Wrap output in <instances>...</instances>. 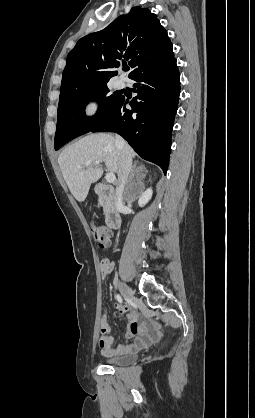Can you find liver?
<instances>
[{
  "label": "liver",
  "mask_w": 255,
  "mask_h": 418,
  "mask_svg": "<svg viewBox=\"0 0 255 418\" xmlns=\"http://www.w3.org/2000/svg\"><path fill=\"white\" fill-rule=\"evenodd\" d=\"M129 150L131 157H135V152L130 147ZM119 160L115 138L106 133L87 135L65 148L58 157L63 178L79 202L85 200L91 184L103 174L102 167L96 164L105 163L107 170L119 177Z\"/></svg>",
  "instance_id": "obj_1"
}]
</instances>
